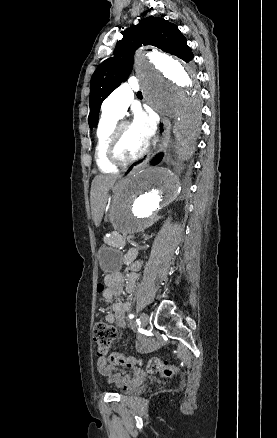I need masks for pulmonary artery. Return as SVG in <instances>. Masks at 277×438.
I'll return each instance as SVG.
<instances>
[{"label": "pulmonary artery", "instance_id": "e3ab8cb5", "mask_svg": "<svg viewBox=\"0 0 277 438\" xmlns=\"http://www.w3.org/2000/svg\"><path fill=\"white\" fill-rule=\"evenodd\" d=\"M137 81L136 76H128L125 79L127 87H115V95L106 96V104L102 106V115L115 119L122 118L132 102V90H137L140 87Z\"/></svg>", "mask_w": 277, "mask_h": 438}]
</instances>
